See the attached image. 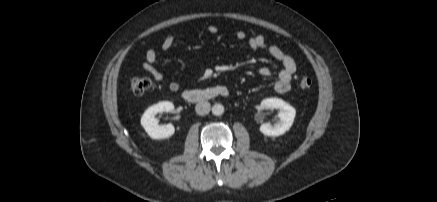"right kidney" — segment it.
<instances>
[{
	"label": "right kidney",
	"mask_w": 437,
	"mask_h": 202,
	"mask_svg": "<svg viewBox=\"0 0 437 202\" xmlns=\"http://www.w3.org/2000/svg\"><path fill=\"white\" fill-rule=\"evenodd\" d=\"M174 105L169 101H162L149 107L141 117V125L152 139H166L171 137L175 128L172 124L159 125L155 116L158 113L171 112Z\"/></svg>",
	"instance_id": "1"
}]
</instances>
